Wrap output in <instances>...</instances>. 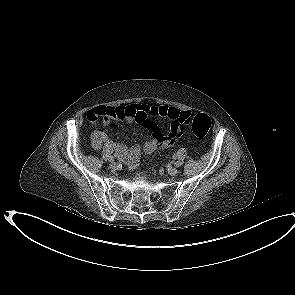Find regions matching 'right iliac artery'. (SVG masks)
Returning <instances> with one entry per match:
<instances>
[{
    "instance_id": "obj_1",
    "label": "right iliac artery",
    "mask_w": 295,
    "mask_h": 295,
    "mask_svg": "<svg viewBox=\"0 0 295 295\" xmlns=\"http://www.w3.org/2000/svg\"><path fill=\"white\" fill-rule=\"evenodd\" d=\"M109 161H110V162H111V161L113 162V161H114V157H111Z\"/></svg>"
}]
</instances>
